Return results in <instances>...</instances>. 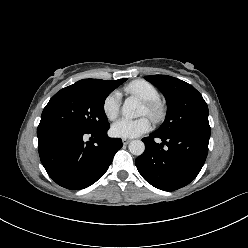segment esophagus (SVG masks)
<instances>
[{"label":"esophagus","mask_w":248,"mask_h":248,"mask_svg":"<svg viewBox=\"0 0 248 248\" xmlns=\"http://www.w3.org/2000/svg\"><path fill=\"white\" fill-rule=\"evenodd\" d=\"M130 141H131L130 139H126V138L122 139L124 145H127Z\"/></svg>","instance_id":"esophagus-1"}]
</instances>
